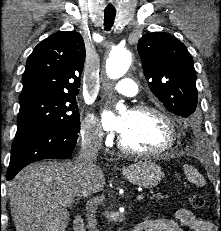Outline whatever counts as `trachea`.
<instances>
[{
	"instance_id": "obj_1",
	"label": "trachea",
	"mask_w": 221,
	"mask_h": 231,
	"mask_svg": "<svg viewBox=\"0 0 221 231\" xmlns=\"http://www.w3.org/2000/svg\"><path fill=\"white\" fill-rule=\"evenodd\" d=\"M116 11L105 10L104 11V26L105 30L109 31L114 24Z\"/></svg>"
}]
</instances>
